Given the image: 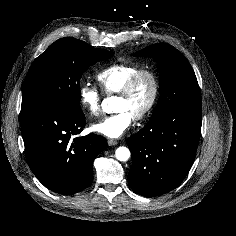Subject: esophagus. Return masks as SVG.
I'll return each mask as SVG.
<instances>
[{
    "label": "esophagus",
    "mask_w": 236,
    "mask_h": 236,
    "mask_svg": "<svg viewBox=\"0 0 236 236\" xmlns=\"http://www.w3.org/2000/svg\"><path fill=\"white\" fill-rule=\"evenodd\" d=\"M117 141L116 140H114V139H108V145L109 146H115V145H117Z\"/></svg>",
    "instance_id": "obj_1"
}]
</instances>
